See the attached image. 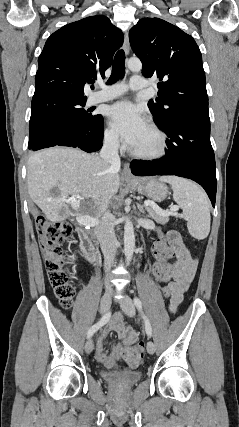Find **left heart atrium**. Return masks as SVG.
Masks as SVG:
<instances>
[{
	"label": "left heart atrium",
	"mask_w": 239,
	"mask_h": 427,
	"mask_svg": "<svg viewBox=\"0 0 239 427\" xmlns=\"http://www.w3.org/2000/svg\"><path fill=\"white\" fill-rule=\"evenodd\" d=\"M108 117L111 127L129 146L137 141L147 126L142 110L127 100L113 104L109 108Z\"/></svg>",
	"instance_id": "obj_1"
}]
</instances>
